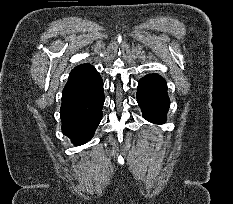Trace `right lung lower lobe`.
<instances>
[{"label": "right lung lower lobe", "instance_id": "1", "mask_svg": "<svg viewBox=\"0 0 233 204\" xmlns=\"http://www.w3.org/2000/svg\"><path fill=\"white\" fill-rule=\"evenodd\" d=\"M103 81L95 68L70 78L62 93V132L76 145L90 140L102 119Z\"/></svg>", "mask_w": 233, "mask_h": 204}]
</instances>
